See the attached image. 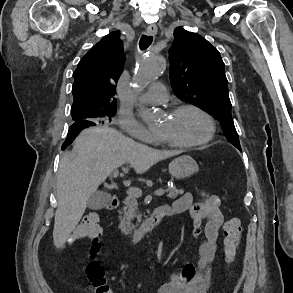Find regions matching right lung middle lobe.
<instances>
[{"label":"right lung middle lobe","mask_w":293,"mask_h":293,"mask_svg":"<svg viewBox=\"0 0 293 293\" xmlns=\"http://www.w3.org/2000/svg\"><path fill=\"white\" fill-rule=\"evenodd\" d=\"M116 109L115 107H107V108H95L90 110H72V119L75 121L78 120H105V121H111V118L115 115Z\"/></svg>","instance_id":"obj_1"}]
</instances>
